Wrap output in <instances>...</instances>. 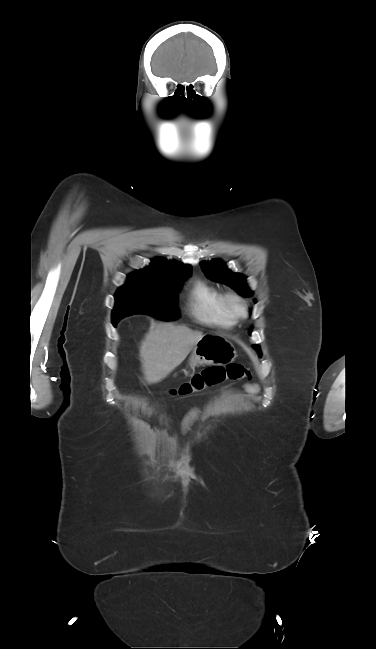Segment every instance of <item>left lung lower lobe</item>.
Returning <instances> with one entry per match:
<instances>
[{
  "label": "left lung lower lobe",
  "mask_w": 376,
  "mask_h": 649,
  "mask_svg": "<svg viewBox=\"0 0 376 649\" xmlns=\"http://www.w3.org/2000/svg\"><path fill=\"white\" fill-rule=\"evenodd\" d=\"M254 348L258 351V353L261 354V350H260V347L258 345H254Z\"/></svg>",
  "instance_id": "1"
}]
</instances>
